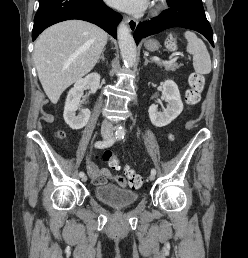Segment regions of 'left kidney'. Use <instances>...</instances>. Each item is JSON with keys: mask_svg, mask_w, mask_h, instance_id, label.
Wrapping results in <instances>:
<instances>
[{"mask_svg": "<svg viewBox=\"0 0 248 258\" xmlns=\"http://www.w3.org/2000/svg\"><path fill=\"white\" fill-rule=\"evenodd\" d=\"M162 100L167 102V107L162 112L153 103L149 107L151 123L156 127H164L170 124L183 110L180 92L176 83L172 80H165L163 83Z\"/></svg>", "mask_w": 248, "mask_h": 258, "instance_id": "1", "label": "left kidney"}]
</instances>
